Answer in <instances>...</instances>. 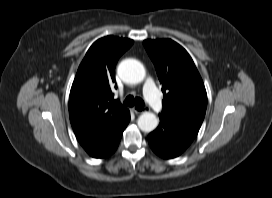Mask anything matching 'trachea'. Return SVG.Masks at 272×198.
Here are the masks:
<instances>
[{"instance_id": "3493384b", "label": "trachea", "mask_w": 272, "mask_h": 198, "mask_svg": "<svg viewBox=\"0 0 272 198\" xmlns=\"http://www.w3.org/2000/svg\"><path fill=\"white\" fill-rule=\"evenodd\" d=\"M124 104L129 106V107H132V106H137V107H143L145 104H144V101L139 98V97H133L132 95H129L126 97V99L124 100Z\"/></svg>"}]
</instances>
